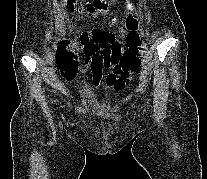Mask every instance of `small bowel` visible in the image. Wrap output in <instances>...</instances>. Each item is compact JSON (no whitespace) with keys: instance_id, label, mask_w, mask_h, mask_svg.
<instances>
[{"instance_id":"c3829d8e","label":"small bowel","mask_w":207,"mask_h":179,"mask_svg":"<svg viewBox=\"0 0 207 179\" xmlns=\"http://www.w3.org/2000/svg\"><path fill=\"white\" fill-rule=\"evenodd\" d=\"M99 30H94L92 33H89V32H85V33H82L81 35V40H85L86 38H88L89 36H91L94 32H97Z\"/></svg>"}]
</instances>
